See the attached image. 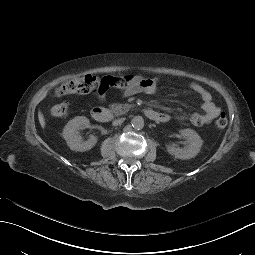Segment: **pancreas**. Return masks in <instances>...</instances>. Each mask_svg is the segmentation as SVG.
Wrapping results in <instances>:
<instances>
[{"instance_id":"obj_1","label":"pancreas","mask_w":255,"mask_h":255,"mask_svg":"<svg viewBox=\"0 0 255 255\" xmlns=\"http://www.w3.org/2000/svg\"><path fill=\"white\" fill-rule=\"evenodd\" d=\"M109 108L110 110L119 115L121 114L124 110L128 111L129 108H131V105L130 104H117V103H114L112 105H109Z\"/></svg>"}]
</instances>
